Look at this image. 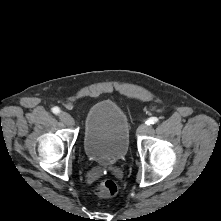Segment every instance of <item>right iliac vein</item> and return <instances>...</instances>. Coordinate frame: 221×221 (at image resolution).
<instances>
[{
    "mask_svg": "<svg viewBox=\"0 0 221 221\" xmlns=\"http://www.w3.org/2000/svg\"><path fill=\"white\" fill-rule=\"evenodd\" d=\"M59 117H60L61 121L63 123H65L66 125H73L74 124L73 118L66 112H61L59 114Z\"/></svg>",
    "mask_w": 221,
    "mask_h": 221,
    "instance_id": "obj_1",
    "label": "right iliac vein"
}]
</instances>
